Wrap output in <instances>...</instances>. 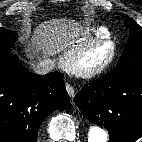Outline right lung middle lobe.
Segmentation results:
<instances>
[{
    "label": "right lung middle lobe",
    "mask_w": 142,
    "mask_h": 142,
    "mask_svg": "<svg viewBox=\"0 0 142 142\" xmlns=\"http://www.w3.org/2000/svg\"><path fill=\"white\" fill-rule=\"evenodd\" d=\"M17 35L5 28H0V56L11 55V47H14Z\"/></svg>",
    "instance_id": "obj_1"
}]
</instances>
